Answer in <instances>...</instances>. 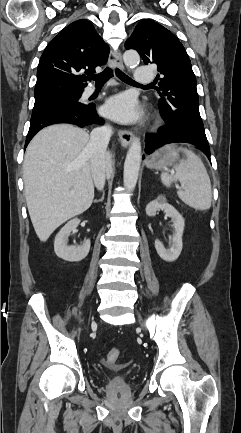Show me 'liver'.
I'll return each instance as SVG.
<instances>
[{"mask_svg":"<svg viewBox=\"0 0 241 433\" xmlns=\"http://www.w3.org/2000/svg\"><path fill=\"white\" fill-rule=\"evenodd\" d=\"M89 134L69 124L42 129L29 143L23 180L26 203L34 230L46 242L61 224L82 214L92 204L94 186ZM112 160L106 153V173Z\"/></svg>","mask_w":241,"mask_h":433,"instance_id":"6515ba94","label":"liver"}]
</instances>
